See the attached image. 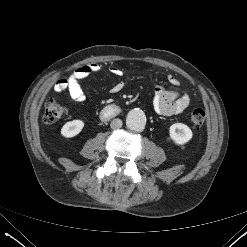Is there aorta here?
<instances>
[{
  "label": "aorta",
  "instance_id": "obj_1",
  "mask_svg": "<svg viewBox=\"0 0 247 247\" xmlns=\"http://www.w3.org/2000/svg\"><path fill=\"white\" fill-rule=\"evenodd\" d=\"M146 116L145 113L139 109L135 108L128 112L126 116V125L136 131H142L145 127Z\"/></svg>",
  "mask_w": 247,
  "mask_h": 247
}]
</instances>
